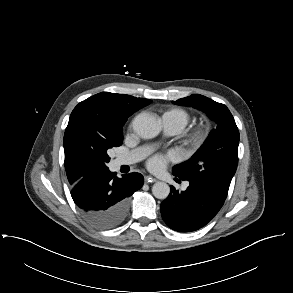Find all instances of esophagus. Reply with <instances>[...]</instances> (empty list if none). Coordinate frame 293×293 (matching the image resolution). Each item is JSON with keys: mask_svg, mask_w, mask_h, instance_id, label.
<instances>
[{"mask_svg": "<svg viewBox=\"0 0 293 293\" xmlns=\"http://www.w3.org/2000/svg\"><path fill=\"white\" fill-rule=\"evenodd\" d=\"M145 180L147 183H153V182H156L157 179L151 177V176H145Z\"/></svg>", "mask_w": 293, "mask_h": 293, "instance_id": "1", "label": "esophagus"}]
</instances>
